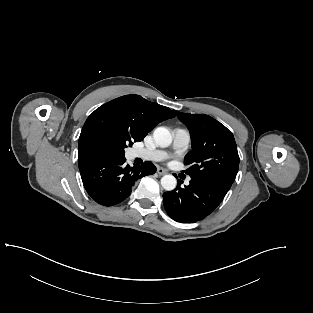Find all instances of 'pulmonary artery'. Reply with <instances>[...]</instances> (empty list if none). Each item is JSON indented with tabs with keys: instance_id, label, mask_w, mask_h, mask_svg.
<instances>
[{
	"instance_id": "obj_1",
	"label": "pulmonary artery",
	"mask_w": 313,
	"mask_h": 313,
	"mask_svg": "<svg viewBox=\"0 0 313 313\" xmlns=\"http://www.w3.org/2000/svg\"><path fill=\"white\" fill-rule=\"evenodd\" d=\"M172 136V150L175 153H182L189 147L191 136L188 130L184 128H176L173 130ZM131 155L134 158H141L144 160L157 162L164 161L170 156L169 152L167 151L150 148L134 149L131 152ZM186 184H189V180L186 181Z\"/></svg>"
}]
</instances>
